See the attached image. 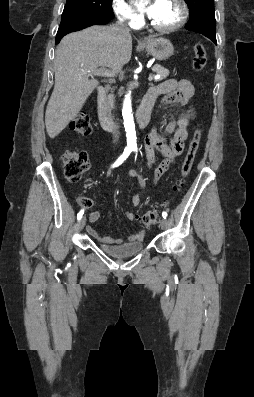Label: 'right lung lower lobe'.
Returning <instances> with one entry per match:
<instances>
[{"label":"right lung lower lobe","mask_w":254,"mask_h":397,"mask_svg":"<svg viewBox=\"0 0 254 397\" xmlns=\"http://www.w3.org/2000/svg\"><path fill=\"white\" fill-rule=\"evenodd\" d=\"M113 17V13L94 15L71 7L64 8L55 43L58 44L68 33L79 31L92 25H105Z\"/></svg>","instance_id":"right-lung-lower-lobe-1"}]
</instances>
